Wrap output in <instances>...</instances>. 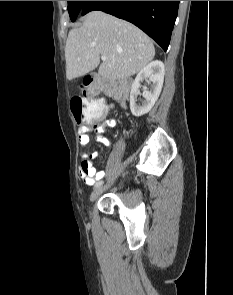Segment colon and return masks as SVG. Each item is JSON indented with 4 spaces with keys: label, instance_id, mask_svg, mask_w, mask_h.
Returning a JSON list of instances; mask_svg holds the SVG:
<instances>
[{
    "label": "colon",
    "instance_id": "5ec220e1",
    "mask_svg": "<svg viewBox=\"0 0 233 295\" xmlns=\"http://www.w3.org/2000/svg\"><path fill=\"white\" fill-rule=\"evenodd\" d=\"M129 81L101 79L88 76L84 79L81 89L83 96L74 97L70 102L71 111L78 123L100 117L104 113L101 94L122 95L129 91Z\"/></svg>",
    "mask_w": 233,
    "mask_h": 295
}]
</instances>
